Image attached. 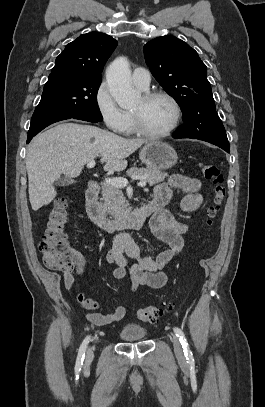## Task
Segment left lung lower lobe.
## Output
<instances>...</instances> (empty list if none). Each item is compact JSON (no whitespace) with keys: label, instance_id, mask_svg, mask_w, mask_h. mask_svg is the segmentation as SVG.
Listing matches in <instances>:
<instances>
[{"label":"left lung lower lobe","instance_id":"1","mask_svg":"<svg viewBox=\"0 0 265 407\" xmlns=\"http://www.w3.org/2000/svg\"><path fill=\"white\" fill-rule=\"evenodd\" d=\"M174 138H178V137H176V136H173ZM217 146H219L220 148H222V149H224L226 152H230V147L229 146H224V145H217Z\"/></svg>","mask_w":265,"mask_h":407}]
</instances>
